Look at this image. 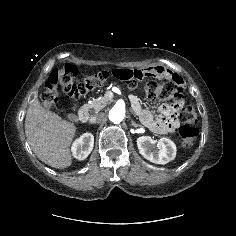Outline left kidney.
I'll use <instances>...</instances> for the list:
<instances>
[{"mask_svg": "<svg viewBox=\"0 0 236 236\" xmlns=\"http://www.w3.org/2000/svg\"><path fill=\"white\" fill-rule=\"evenodd\" d=\"M156 143L150 136H141L137 139L140 154L147 160L156 164H166L176 157V145L167 137H162Z\"/></svg>", "mask_w": 236, "mask_h": 236, "instance_id": "1", "label": "left kidney"}]
</instances>
